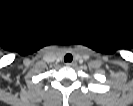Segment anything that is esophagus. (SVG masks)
<instances>
[{"mask_svg":"<svg viewBox=\"0 0 133 106\" xmlns=\"http://www.w3.org/2000/svg\"><path fill=\"white\" fill-rule=\"evenodd\" d=\"M75 64H76L75 62H68V63H66V65L69 66V67H73V66H75Z\"/></svg>","mask_w":133,"mask_h":106,"instance_id":"obj_1","label":"esophagus"}]
</instances>
